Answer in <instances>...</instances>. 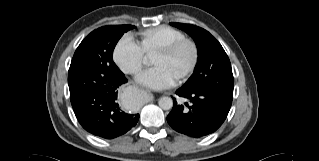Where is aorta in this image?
I'll use <instances>...</instances> for the list:
<instances>
[{
  "instance_id": "762f6f07",
  "label": "aorta",
  "mask_w": 319,
  "mask_h": 161,
  "mask_svg": "<svg viewBox=\"0 0 319 161\" xmlns=\"http://www.w3.org/2000/svg\"><path fill=\"white\" fill-rule=\"evenodd\" d=\"M160 108L163 110H169L173 107V100L170 97H161L158 101Z\"/></svg>"
}]
</instances>
